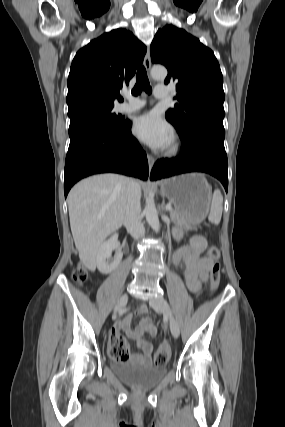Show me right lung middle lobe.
<instances>
[{
  "mask_svg": "<svg viewBox=\"0 0 285 427\" xmlns=\"http://www.w3.org/2000/svg\"><path fill=\"white\" fill-rule=\"evenodd\" d=\"M114 105L89 106L73 114L70 117L69 135L78 129L88 125H101L109 129L117 130L125 126V118L121 114L112 111Z\"/></svg>",
  "mask_w": 285,
  "mask_h": 427,
  "instance_id": "1",
  "label": "right lung middle lobe"
}]
</instances>
